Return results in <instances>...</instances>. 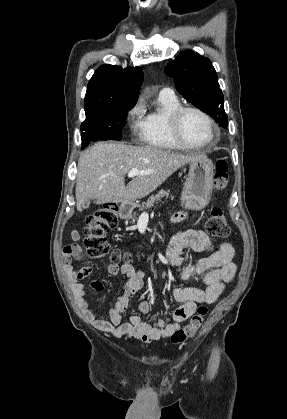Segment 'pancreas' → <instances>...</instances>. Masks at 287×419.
Listing matches in <instances>:
<instances>
[{
    "label": "pancreas",
    "mask_w": 287,
    "mask_h": 419,
    "mask_svg": "<svg viewBox=\"0 0 287 419\" xmlns=\"http://www.w3.org/2000/svg\"><path fill=\"white\" fill-rule=\"evenodd\" d=\"M170 194L169 190H160L158 194L155 196L152 195L149 197V199L146 202H143L142 204L137 205L140 211H143L145 209L151 208L154 204L158 203L162 197H168ZM171 199H174V196H171Z\"/></svg>",
    "instance_id": "obj_1"
}]
</instances>
